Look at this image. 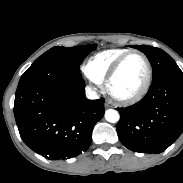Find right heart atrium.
I'll return each instance as SVG.
<instances>
[{"label":"right heart atrium","instance_id":"d8ad5b80","mask_svg":"<svg viewBox=\"0 0 183 183\" xmlns=\"http://www.w3.org/2000/svg\"><path fill=\"white\" fill-rule=\"evenodd\" d=\"M82 70H83V73H84L85 77L89 80V82L92 85L98 86V85L101 84L102 80L91 71L88 64L84 65Z\"/></svg>","mask_w":183,"mask_h":183}]
</instances>
